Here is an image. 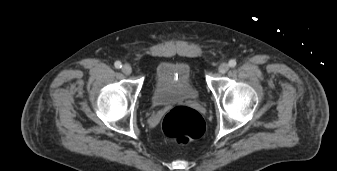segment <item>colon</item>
<instances>
[{
	"label": "colon",
	"instance_id": "obj_1",
	"mask_svg": "<svg viewBox=\"0 0 337 171\" xmlns=\"http://www.w3.org/2000/svg\"><path fill=\"white\" fill-rule=\"evenodd\" d=\"M162 130L166 136L178 142H188L204 134L205 122L197 111L180 106L166 114Z\"/></svg>",
	"mask_w": 337,
	"mask_h": 171
}]
</instances>
